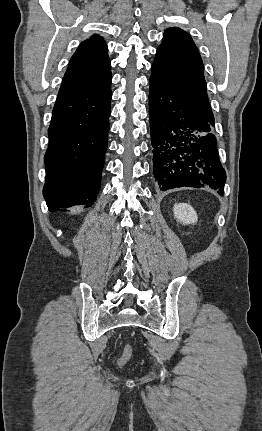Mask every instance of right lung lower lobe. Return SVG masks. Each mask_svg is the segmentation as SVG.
<instances>
[{"instance_id":"98d812e1","label":"right lung lower lobe","mask_w":262,"mask_h":431,"mask_svg":"<svg viewBox=\"0 0 262 431\" xmlns=\"http://www.w3.org/2000/svg\"><path fill=\"white\" fill-rule=\"evenodd\" d=\"M111 89L58 94L48 129L43 195L49 211L91 206L100 189L107 149Z\"/></svg>"}]
</instances>
